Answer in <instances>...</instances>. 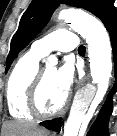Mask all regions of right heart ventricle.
<instances>
[{
	"label": "right heart ventricle",
	"mask_w": 117,
	"mask_h": 136,
	"mask_svg": "<svg viewBox=\"0 0 117 136\" xmlns=\"http://www.w3.org/2000/svg\"><path fill=\"white\" fill-rule=\"evenodd\" d=\"M42 57L29 50L14 65L6 84V101L10 115L15 119H32L28 96L31 85L39 72Z\"/></svg>",
	"instance_id": "e07e8e85"
}]
</instances>
